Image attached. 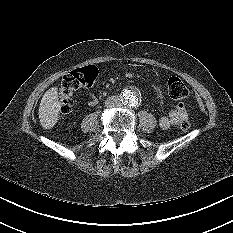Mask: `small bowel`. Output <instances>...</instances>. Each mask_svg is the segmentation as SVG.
<instances>
[{"label":"small bowel","mask_w":233,"mask_h":233,"mask_svg":"<svg viewBox=\"0 0 233 233\" xmlns=\"http://www.w3.org/2000/svg\"><path fill=\"white\" fill-rule=\"evenodd\" d=\"M89 104L94 105L96 99L92 94L88 95ZM188 113L183 103H179L173 109L169 111L167 115L161 116L158 120L159 127L162 129H169L172 126L179 125L184 119H187Z\"/></svg>","instance_id":"small-bowel-1"}]
</instances>
